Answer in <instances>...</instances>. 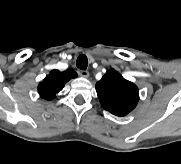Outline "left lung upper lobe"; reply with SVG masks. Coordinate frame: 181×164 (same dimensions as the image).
Returning a JSON list of instances; mask_svg holds the SVG:
<instances>
[{
  "label": "left lung upper lobe",
  "mask_w": 181,
  "mask_h": 164,
  "mask_svg": "<svg viewBox=\"0 0 181 164\" xmlns=\"http://www.w3.org/2000/svg\"><path fill=\"white\" fill-rule=\"evenodd\" d=\"M96 91L104 109L117 116L127 115L139 100L137 86L114 69L108 70L96 83Z\"/></svg>",
  "instance_id": "obj_1"
}]
</instances>
